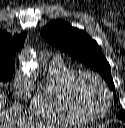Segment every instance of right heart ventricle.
Instances as JSON below:
<instances>
[{
	"label": "right heart ventricle",
	"instance_id": "right-heart-ventricle-1",
	"mask_svg": "<svg viewBox=\"0 0 125 128\" xmlns=\"http://www.w3.org/2000/svg\"><path fill=\"white\" fill-rule=\"evenodd\" d=\"M76 71L61 60L50 63L46 81L33 94L30 104L35 116L65 124H84L88 119L79 114L67 96V84Z\"/></svg>",
	"mask_w": 125,
	"mask_h": 128
}]
</instances>
